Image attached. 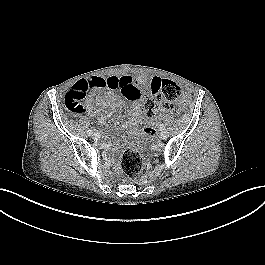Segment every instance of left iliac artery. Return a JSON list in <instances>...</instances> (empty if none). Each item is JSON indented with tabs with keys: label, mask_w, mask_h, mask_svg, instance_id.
Masks as SVG:
<instances>
[{
	"label": "left iliac artery",
	"mask_w": 265,
	"mask_h": 265,
	"mask_svg": "<svg viewBox=\"0 0 265 265\" xmlns=\"http://www.w3.org/2000/svg\"><path fill=\"white\" fill-rule=\"evenodd\" d=\"M160 129H161V130H165V125H164V124H161V125H160Z\"/></svg>",
	"instance_id": "obj_1"
}]
</instances>
